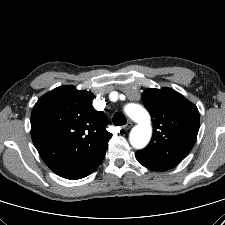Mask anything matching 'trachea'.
I'll return each instance as SVG.
<instances>
[{"label": "trachea", "mask_w": 225, "mask_h": 225, "mask_svg": "<svg viewBox=\"0 0 225 225\" xmlns=\"http://www.w3.org/2000/svg\"><path fill=\"white\" fill-rule=\"evenodd\" d=\"M112 120H113V124L116 126L125 125L127 122L126 117L121 112L115 113Z\"/></svg>", "instance_id": "3493384b"}]
</instances>
